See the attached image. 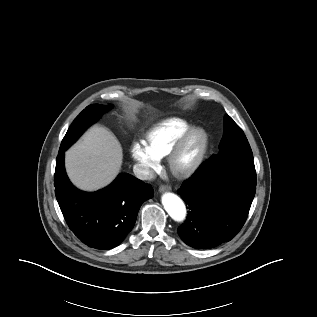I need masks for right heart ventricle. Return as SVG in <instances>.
<instances>
[{
  "mask_svg": "<svg viewBox=\"0 0 317 317\" xmlns=\"http://www.w3.org/2000/svg\"><path fill=\"white\" fill-rule=\"evenodd\" d=\"M191 128V125L178 118L164 120L146 133V144L159 158L167 156L180 137Z\"/></svg>",
  "mask_w": 317,
  "mask_h": 317,
  "instance_id": "1",
  "label": "right heart ventricle"
}]
</instances>
